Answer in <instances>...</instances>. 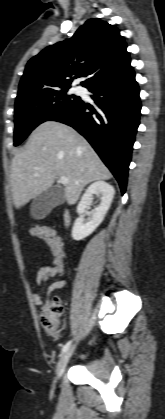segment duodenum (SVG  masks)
<instances>
[{
    "mask_svg": "<svg viewBox=\"0 0 165 419\" xmlns=\"http://www.w3.org/2000/svg\"><path fill=\"white\" fill-rule=\"evenodd\" d=\"M70 221H71L70 213L68 211H66L64 213V216H63V225H64V227L67 228L69 226V224H70Z\"/></svg>",
    "mask_w": 165,
    "mask_h": 419,
    "instance_id": "410a0bca",
    "label": "duodenum"
}]
</instances>
